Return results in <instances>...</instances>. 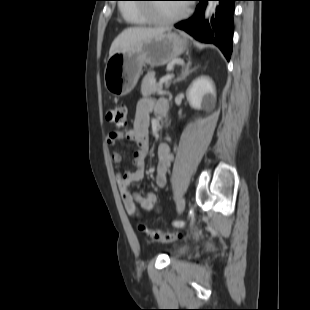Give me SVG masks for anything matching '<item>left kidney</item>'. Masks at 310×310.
<instances>
[{"instance_id": "5707ae66", "label": "left kidney", "mask_w": 310, "mask_h": 310, "mask_svg": "<svg viewBox=\"0 0 310 310\" xmlns=\"http://www.w3.org/2000/svg\"><path fill=\"white\" fill-rule=\"evenodd\" d=\"M187 99L194 109L210 107L216 99L215 87L210 78L201 76L195 79L187 90Z\"/></svg>"}]
</instances>
